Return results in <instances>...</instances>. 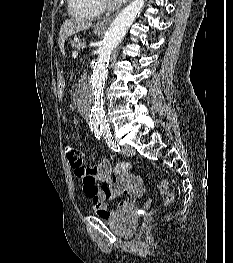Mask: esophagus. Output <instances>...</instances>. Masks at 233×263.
Masks as SVG:
<instances>
[{"label": "esophagus", "mask_w": 233, "mask_h": 263, "mask_svg": "<svg viewBox=\"0 0 233 263\" xmlns=\"http://www.w3.org/2000/svg\"><path fill=\"white\" fill-rule=\"evenodd\" d=\"M118 12L112 14L111 16H108L104 19H102L100 22L97 23V28H105L108 23H110L117 15Z\"/></svg>", "instance_id": "obj_1"}]
</instances>
